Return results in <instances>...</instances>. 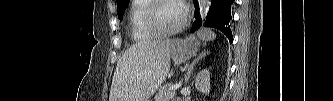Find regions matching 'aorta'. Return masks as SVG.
Instances as JSON below:
<instances>
[{"label":"aorta","mask_w":333,"mask_h":101,"mask_svg":"<svg viewBox=\"0 0 333 101\" xmlns=\"http://www.w3.org/2000/svg\"><path fill=\"white\" fill-rule=\"evenodd\" d=\"M209 6H210V1L209 0H200L201 14L206 13Z\"/></svg>","instance_id":"762f6f07"}]
</instances>
